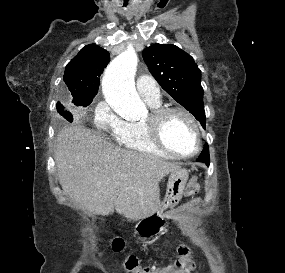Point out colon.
Here are the masks:
<instances>
[{
	"instance_id": "5ec220e1",
	"label": "colon",
	"mask_w": 285,
	"mask_h": 273,
	"mask_svg": "<svg viewBox=\"0 0 285 273\" xmlns=\"http://www.w3.org/2000/svg\"><path fill=\"white\" fill-rule=\"evenodd\" d=\"M200 184L196 176L192 177L188 182L185 189V196L192 197L198 193ZM124 242L120 238H116L112 241V248L114 251H121L123 249ZM178 257L174 264L170 268H151L142 267L139 265V261L135 256H128L124 259V269L126 273H156L163 271L164 273H192L195 269L194 251L185 244H182L177 249Z\"/></svg>"
}]
</instances>
